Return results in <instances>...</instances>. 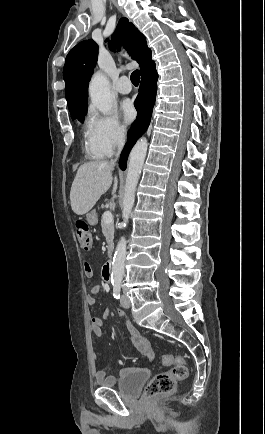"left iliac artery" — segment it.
<instances>
[{
  "label": "left iliac artery",
  "mask_w": 265,
  "mask_h": 434,
  "mask_svg": "<svg viewBox=\"0 0 265 434\" xmlns=\"http://www.w3.org/2000/svg\"><path fill=\"white\" fill-rule=\"evenodd\" d=\"M113 284V296L115 299L120 298V289H121V283L120 282H114Z\"/></svg>",
  "instance_id": "1"
}]
</instances>
